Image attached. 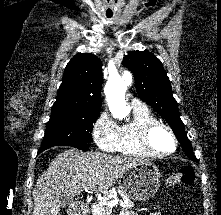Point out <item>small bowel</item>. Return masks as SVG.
Instances as JSON below:
<instances>
[{
  "instance_id": "obj_1",
  "label": "small bowel",
  "mask_w": 221,
  "mask_h": 215,
  "mask_svg": "<svg viewBox=\"0 0 221 215\" xmlns=\"http://www.w3.org/2000/svg\"><path fill=\"white\" fill-rule=\"evenodd\" d=\"M120 215H137L132 211H123ZM150 215H161L159 212H153Z\"/></svg>"
}]
</instances>
